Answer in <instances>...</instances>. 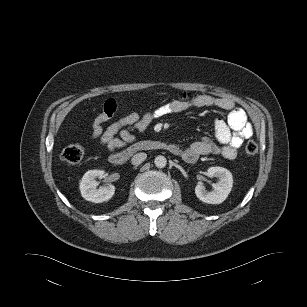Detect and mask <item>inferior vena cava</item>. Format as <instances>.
Instances as JSON below:
<instances>
[{
    "mask_svg": "<svg viewBox=\"0 0 307 307\" xmlns=\"http://www.w3.org/2000/svg\"><path fill=\"white\" fill-rule=\"evenodd\" d=\"M147 157V154L146 153H137L135 154L132 159H131V162L133 165H139L141 164Z\"/></svg>",
    "mask_w": 307,
    "mask_h": 307,
    "instance_id": "1",
    "label": "inferior vena cava"
}]
</instances>
